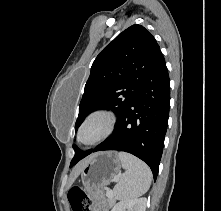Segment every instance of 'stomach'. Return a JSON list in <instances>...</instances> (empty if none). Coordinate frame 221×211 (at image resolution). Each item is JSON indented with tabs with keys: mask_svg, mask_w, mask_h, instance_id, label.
Wrapping results in <instances>:
<instances>
[{
	"mask_svg": "<svg viewBox=\"0 0 221 211\" xmlns=\"http://www.w3.org/2000/svg\"><path fill=\"white\" fill-rule=\"evenodd\" d=\"M121 168L116 152H98L81 170V181L87 193L104 195V188Z\"/></svg>",
	"mask_w": 221,
	"mask_h": 211,
	"instance_id": "stomach-1",
	"label": "stomach"
}]
</instances>
